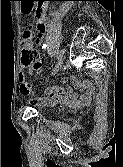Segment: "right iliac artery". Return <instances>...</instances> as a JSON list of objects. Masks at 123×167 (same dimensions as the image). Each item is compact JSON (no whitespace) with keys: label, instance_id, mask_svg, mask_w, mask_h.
I'll list each match as a JSON object with an SVG mask.
<instances>
[{"label":"right iliac artery","instance_id":"82829eb1","mask_svg":"<svg viewBox=\"0 0 123 167\" xmlns=\"http://www.w3.org/2000/svg\"><path fill=\"white\" fill-rule=\"evenodd\" d=\"M62 53H63V50H59V51L57 52V58H58V59L61 57Z\"/></svg>","mask_w":123,"mask_h":167}]
</instances>
